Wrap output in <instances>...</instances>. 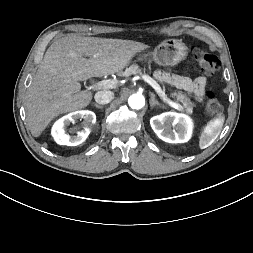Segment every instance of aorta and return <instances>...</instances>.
<instances>
[{
  "mask_svg": "<svg viewBox=\"0 0 253 253\" xmlns=\"http://www.w3.org/2000/svg\"><path fill=\"white\" fill-rule=\"evenodd\" d=\"M128 103L132 109H141L145 105V99L141 94H133L129 97Z\"/></svg>",
  "mask_w": 253,
  "mask_h": 253,
  "instance_id": "762f6f07",
  "label": "aorta"
}]
</instances>
